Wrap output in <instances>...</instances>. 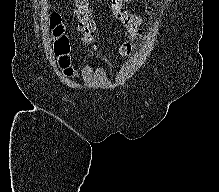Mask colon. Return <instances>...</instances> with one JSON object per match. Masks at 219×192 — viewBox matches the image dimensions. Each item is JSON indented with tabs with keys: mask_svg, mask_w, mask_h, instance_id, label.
I'll list each match as a JSON object with an SVG mask.
<instances>
[{
	"mask_svg": "<svg viewBox=\"0 0 219 192\" xmlns=\"http://www.w3.org/2000/svg\"><path fill=\"white\" fill-rule=\"evenodd\" d=\"M75 3L82 7H86L88 0H75ZM49 23L53 38V49L57 57L59 67L65 75L71 76L73 72L70 57L71 44L66 27L63 24L61 17L55 13L51 14ZM82 24L86 30L94 27V22L92 21L91 17L84 18ZM133 49L134 45L132 41H127L121 45L120 51L124 55H130Z\"/></svg>",
	"mask_w": 219,
	"mask_h": 192,
	"instance_id": "5ec220e1",
	"label": "colon"
}]
</instances>
